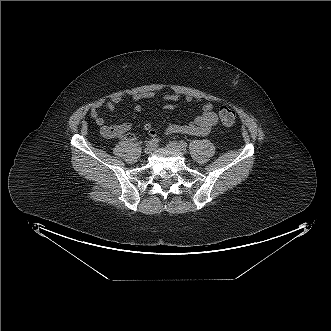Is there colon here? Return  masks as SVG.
Segmentation results:
<instances>
[{
    "instance_id": "1",
    "label": "colon",
    "mask_w": 331,
    "mask_h": 331,
    "mask_svg": "<svg viewBox=\"0 0 331 331\" xmlns=\"http://www.w3.org/2000/svg\"><path fill=\"white\" fill-rule=\"evenodd\" d=\"M218 114L221 123L225 126H231L235 122V112L227 106H221Z\"/></svg>"
}]
</instances>
